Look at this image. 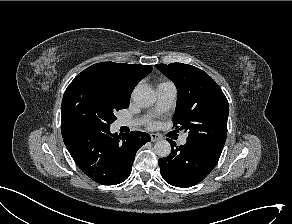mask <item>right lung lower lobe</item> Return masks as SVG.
I'll return each mask as SVG.
<instances>
[{
    "instance_id": "right-lung-lower-lobe-1",
    "label": "right lung lower lobe",
    "mask_w": 292,
    "mask_h": 224,
    "mask_svg": "<svg viewBox=\"0 0 292 224\" xmlns=\"http://www.w3.org/2000/svg\"><path fill=\"white\" fill-rule=\"evenodd\" d=\"M66 148L77 166L92 180L103 185H116L131 174L137 150L150 141L147 133L132 131L112 134L82 124L61 125Z\"/></svg>"
}]
</instances>
